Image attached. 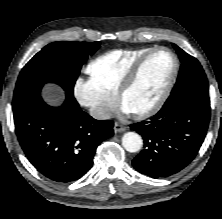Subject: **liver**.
Returning a JSON list of instances; mask_svg holds the SVG:
<instances>
[{
	"mask_svg": "<svg viewBox=\"0 0 222 219\" xmlns=\"http://www.w3.org/2000/svg\"><path fill=\"white\" fill-rule=\"evenodd\" d=\"M44 95L52 104H58L62 100L60 90L53 86H47L45 88Z\"/></svg>",
	"mask_w": 222,
	"mask_h": 219,
	"instance_id": "6515ba94",
	"label": "liver"
}]
</instances>
